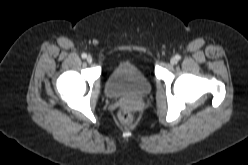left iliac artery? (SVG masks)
I'll list each match as a JSON object with an SVG mask.
<instances>
[{
	"instance_id": "44dca946",
	"label": "left iliac artery",
	"mask_w": 248,
	"mask_h": 165,
	"mask_svg": "<svg viewBox=\"0 0 248 165\" xmlns=\"http://www.w3.org/2000/svg\"><path fill=\"white\" fill-rule=\"evenodd\" d=\"M175 58L176 60H180L181 57L179 55H176Z\"/></svg>"
}]
</instances>
